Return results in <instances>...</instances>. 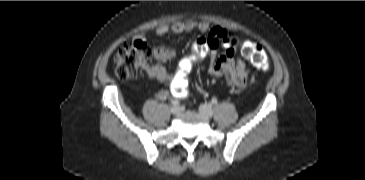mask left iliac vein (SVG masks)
Segmentation results:
<instances>
[{"label": "left iliac vein", "instance_id": "1", "mask_svg": "<svg viewBox=\"0 0 365 180\" xmlns=\"http://www.w3.org/2000/svg\"><path fill=\"white\" fill-rule=\"evenodd\" d=\"M199 112L201 115H203L206 118H211L213 115V111L209 105L201 104L199 106Z\"/></svg>", "mask_w": 365, "mask_h": 180}]
</instances>
